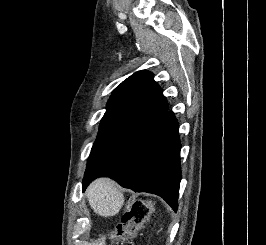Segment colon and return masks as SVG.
Here are the masks:
<instances>
[{
	"label": "colon",
	"mask_w": 266,
	"mask_h": 245,
	"mask_svg": "<svg viewBox=\"0 0 266 245\" xmlns=\"http://www.w3.org/2000/svg\"><path fill=\"white\" fill-rule=\"evenodd\" d=\"M151 202L146 199L136 200L122 214L111 239L116 245H134L133 239L142 228L151 212Z\"/></svg>",
	"instance_id": "colon-1"
}]
</instances>
